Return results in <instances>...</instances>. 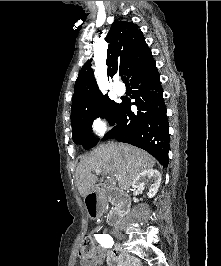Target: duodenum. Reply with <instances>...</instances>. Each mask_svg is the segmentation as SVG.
<instances>
[{"label": "duodenum", "mask_w": 221, "mask_h": 266, "mask_svg": "<svg viewBox=\"0 0 221 266\" xmlns=\"http://www.w3.org/2000/svg\"><path fill=\"white\" fill-rule=\"evenodd\" d=\"M107 194H110L112 199L120 203L119 207L107 213L108 224L116 226L126 212L125 198L116 190L109 192L104 185H98L95 189H88L85 201L87 216H91V219H98V216H102V206H105L103 199L107 197Z\"/></svg>", "instance_id": "410a0bca"}]
</instances>
